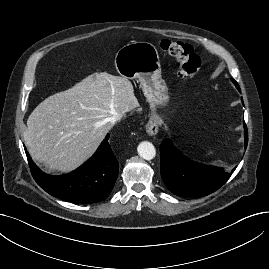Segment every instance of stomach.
<instances>
[{
    "label": "stomach",
    "mask_w": 269,
    "mask_h": 269,
    "mask_svg": "<svg viewBox=\"0 0 269 269\" xmlns=\"http://www.w3.org/2000/svg\"><path fill=\"white\" fill-rule=\"evenodd\" d=\"M115 67L128 79L137 78L151 107L169 101L168 88L161 77L157 48L149 42L129 43L118 50ZM160 120V117H156Z\"/></svg>",
    "instance_id": "obj_1"
}]
</instances>
